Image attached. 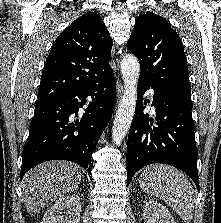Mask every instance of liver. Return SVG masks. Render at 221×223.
Listing matches in <instances>:
<instances>
[{
	"instance_id": "6515ba94",
	"label": "liver",
	"mask_w": 221,
	"mask_h": 223,
	"mask_svg": "<svg viewBox=\"0 0 221 223\" xmlns=\"http://www.w3.org/2000/svg\"><path fill=\"white\" fill-rule=\"evenodd\" d=\"M81 172L69 161L40 164L24 176L23 199L29 214H36L49 204L70 194L81 183Z\"/></svg>"
}]
</instances>
